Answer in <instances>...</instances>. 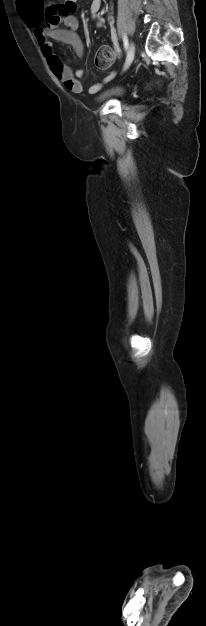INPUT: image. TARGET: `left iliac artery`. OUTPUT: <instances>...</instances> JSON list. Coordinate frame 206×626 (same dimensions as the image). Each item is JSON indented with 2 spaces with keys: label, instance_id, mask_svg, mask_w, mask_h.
I'll return each mask as SVG.
<instances>
[{
  "label": "left iliac artery",
  "instance_id": "obj_1",
  "mask_svg": "<svg viewBox=\"0 0 206 626\" xmlns=\"http://www.w3.org/2000/svg\"><path fill=\"white\" fill-rule=\"evenodd\" d=\"M123 43H124L125 50H127L128 49V39H127V36L125 34L123 35Z\"/></svg>",
  "mask_w": 206,
  "mask_h": 626
}]
</instances>
